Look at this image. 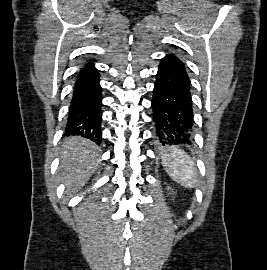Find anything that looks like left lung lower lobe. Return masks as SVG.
<instances>
[{
    "label": "left lung lower lobe",
    "mask_w": 267,
    "mask_h": 270,
    "mask_svg": "<svg viewBox=\"0 0 267 270\" xmlns=\"http://www.w3.org/2000/svg\"><path fill=\"white\" fill-rule=\"evenodd\" d=\"M151 107L159 144H191L194 120L190 81L183 62L173 54L159 65Z\"/></svg>",
    "instance_id": "1"
}]
</instances>
